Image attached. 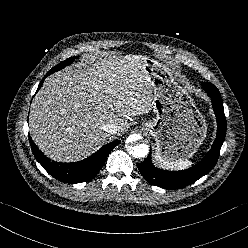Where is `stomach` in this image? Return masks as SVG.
Here are the masks:
<instances>
[{
    "label": "stomach",
    "instance_id": "1",
    "mask_svg": "<svg viewBox=\"0 0 248 248\" xmlns=\"http://www.w3.org/2000/svg\"><path fill=\"white\" fill-rule=\"evenodd\" d=\"M145 72L153 88L156 117L142 128L155 139L156 155L166 161L191 158L206 137L205 119L165 65L146 57Z\"/></svg>",
    "mask_w": 248,
    "mask_h": 248
}]
</instances>
